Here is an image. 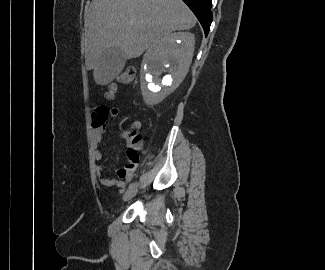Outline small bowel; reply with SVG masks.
Masks as SVG:
<instances>
[{
    "label": "small bowel",
    "instance_id": "c3829d8e",
    "mask_svg": "<svg viewBox=\"0 0 325 270\" xmlns=\"http://www.w3.org/2000/svg\"><path fill=\"white\" fill-rule=\"evenodd\" d=\"M119 115V109L116 107L108 108L106 103H97L96 109L93 114L92 118V128H91V142L93 146V157L95 160V172L97 177L99 178V181L102 185L106 187H112L116 186L118 188H122L124 185V181H131L132 175L134 170L137 167V162L133 166H128V163L130 161V151H132L134 148L131 144V142L128 140L127 145V152H126V158L128 160V163L125 167L119 168L117 170V176L118 180L110 179L108 177H105L102 175V168L100 166V161L102 160V152L99 149V144L102 141V135L105 130V121H108L109 118H115ZM134 129H138L139 125L134 124Z\"/></svg>",
    "mask_w": 325,
    "mask_h": 270
}]
</instances>
